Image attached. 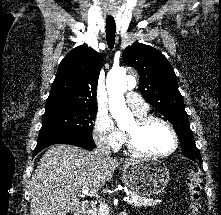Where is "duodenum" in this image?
Listing matches in <instances>:
<instances>
[{
	"instance_id": "410a0bca",
	"label": "duodenum",
	"mask_w": 221,
	"mask_h": 215,
	"mask_svg": "<svg viewBox=\"0 0 221 215\" xmlns=\"http://www.w3.org/2000/svg\"><path fill=\"white\" fill-rule=\"evenodd\" d=\"M94 211H95V204L92 201H87L82 205V207L75 215H93Z\"/></svg>"
}]
</instances>
